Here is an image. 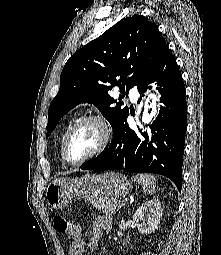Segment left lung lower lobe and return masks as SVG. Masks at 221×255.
<instances>
[{
    "label": "left lung lower lobe",
    "mask_w": 221,
    "mask_h": 255,
    "mask_svg": "<svg viewBox=\"0 0 221 255\" xmlns=\"http://www.w3.org/2000/svg\"><path fill=\"white\" fill-rule=\"evenodd\" d=\"M156 83L161 94L159 115L151 131L137 135L126 115L113 131L110 146L81 169L123 170L130 173H156L170 178L180 191L187 127L185 87L176 60L167 46L154 70L139 89L143 95Z\"/></svg>",
    "instance_id": "1"
}]
</instances>
